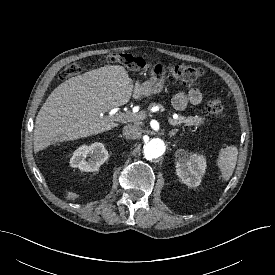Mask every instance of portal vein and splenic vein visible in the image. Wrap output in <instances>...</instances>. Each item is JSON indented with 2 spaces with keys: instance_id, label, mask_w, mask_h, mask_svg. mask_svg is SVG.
<instances>
[{
  "instance_id": "1",
  "label": "portal vein and splenic vein",
  "mask_w": 275,
  "mask_h": 275,
  "mask_svg": "<svg viewBox=\"0 0 275 275\" xmlns=\"http://www.w3.org/2000/svg\"><path fill=\"white\" fill-rule=\"evenodd\" d=\"M109 117L114 120V121H121V122H124V121H133V120H137V119H141L142 116L141 115H137L135 113H121V112H118V113H115V112H111ZM169 123L171 125H177L175 124L174 122L170 121L169 120Z\"/></svg>"
}]
</instances>
